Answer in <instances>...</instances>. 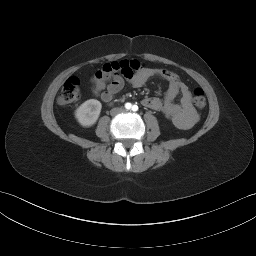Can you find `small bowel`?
I'll list each match as a JSON object with an SVG mask.
<instances>
[{"instance_id":"small-bowel-1","label":"small bowel","mask_w":256,"mask_h":256,"mask_svg":"<svg viewBox=\"0 0 256 256\" xmlns=\"http://www.w3.org/2000/svg\"><path fill=\"white\" fill-rule=\"evenodd\" d=\"M156 76L168 81L164 99L162 101L156 97H147L142 100L143 106L162 112L178 129L191 128L198 120V115L192 107V95L189 87L173 71L163 68H144L130 78L116 76L109 83L96 84L93 94L108 103L123 89L126 82L134 88H141L150 78ZM177 95L181 97L179 104L174 103Z\"/></svg>"}]
</instances>
